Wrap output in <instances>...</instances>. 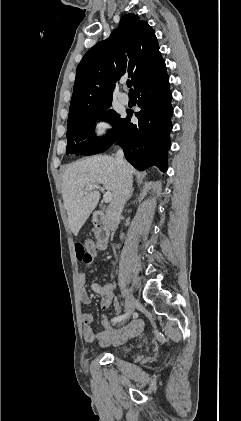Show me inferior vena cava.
<instances>
[{"label": "inferior vena cava", "instance_id": "602c4592", "mask_svg": "<svg viewBox=\"0 0 241 421\" xmlns=\"http://www.w3.org/2000/svg\"><path fill=\"white\" fill-rule=\"evenodd\" d=\"M115 159L119 170V182L117 190L106 212L108 228L113 232L118 227L122 210L132 189V176L129 172L128 165L124 160V152L122 149H118Z\"/></svg>", "mask_w": 241, "mask_h": 421}]
</instances>
